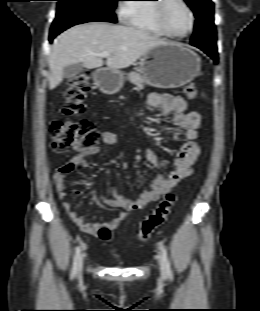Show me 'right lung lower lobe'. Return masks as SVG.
Returning a JSON list of instances; mask_svg holds the SVG:
<instances>
[{"label":"right lung lower lobe","mask_w":260,"mask_h":311,"mask_svg":"<svg viewBox=\"0 0 260 311\" xmlns=\"http://www.w3.org/2000/svg\"><path fill=\"white\" fill-rule=\"evenodd\" d=\"M81 23H85V22L63 21L60 24L53 23L52 27H51V31H50L49 41L52 42V40L56 37V35H58L59 33H61L64 30H66L67 28H69L73 25L81 24Z\"/></svg>","instance_id":"98d812e1"}]
</instances>
